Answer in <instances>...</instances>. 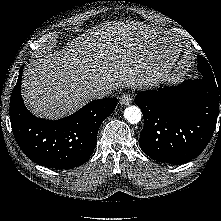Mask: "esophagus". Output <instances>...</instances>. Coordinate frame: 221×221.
<instances>
[{"label":"esophagus","instance_id":"1","mask_svg":"<svg viewBox=\"0 0 221 221\" xmlns=\"http://www.w3.org/2000/svg\"><path fill=\"white\" fill-rule=\"evenodd\" d=\"M119 100L122 105H129L132 102V96L130 93H123Z\"/></svg>","mask_w":221,"mask_h":221}]
</instances>
